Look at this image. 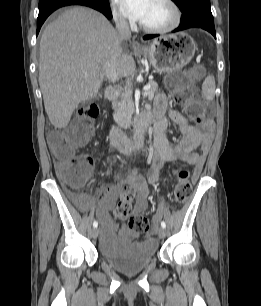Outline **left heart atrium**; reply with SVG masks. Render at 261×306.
Listing matches in <instances>:
<instances>
[{
	"label": "left heart atrium",
	"instance_id": "obj_1",
	"mask_svg": "<svg viewBox=\"0 0 261 306\" xmlns=\"http://www.w3.org/2000/svg\"><path fill=\"white\" fill-rule=\"evenodd\" d=\"M122 13L128 18L141 21L150 0H117Z\"/></svg>",
	"mask_w": 261,
	"mask_h": 306
}]
</instances>
